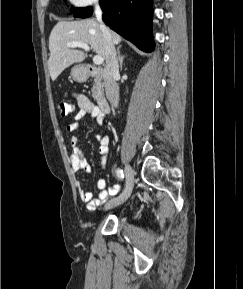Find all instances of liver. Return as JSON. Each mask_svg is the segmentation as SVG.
<instances>
[{"label": "liver", "instance_id": "1", "mask_svg": "<svg viewBox=\"0 0 243 289\" xmlns=\"http://www.w3.org/2000/svg\"><path fill=\"white\" fill-rule=\"evenodd\" d=\"M110 33L113 45H118L122 40L120 35L113 31ZM73 41L87 43L97 55L106 58L105 41L100 24L95 19L59 21L52 29L49 37L48 69L53 81L66 68L85 59L83 51L67 46V43Z\"/></svg>", "mask_w": 243, "mask_h": 289}]
</instances>
